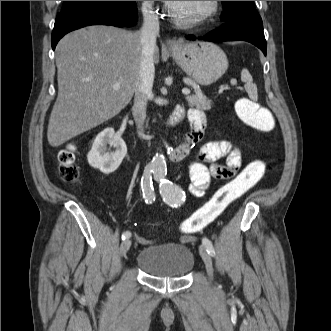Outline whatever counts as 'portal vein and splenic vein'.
<instances>
[{
  "label": "portal vein and splenic vein",
  "mask_w": 331,
  "mask_h": 331,
  "mask_svg": "<svg viewBox=\"0 0 331 331\" xmlns=\"http://www.w3.org/2000/svg\"><path fill=\"white\" fill-rule=\"evenodd\" d=\"M119 88H120V84H119V83H115V84L113 85V89L117 90V89H119ZM182 93H183L184 95H189V94H190V90H189L188 88H183V89H182Z\"/></svg>",
  "instance_id": "obj_1"
}]
</instances>
